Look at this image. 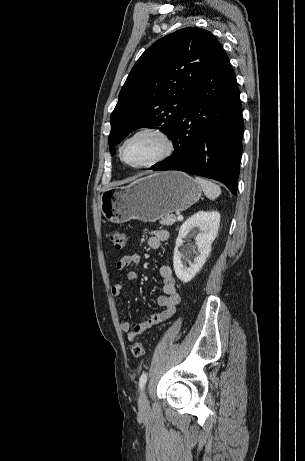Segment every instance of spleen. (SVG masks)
Returning <instances> with one entry per match:
<instances>
[{
	"instance_id": "1",
	"label": "spleen",
	"mask_w": 305,
	"mask_h": 461,
	"mask_svg": "<svg viewBox=\"0 0 305 461\" xmlns=\"http://www.w3.org/2000/svg\"><path fill=\"white\" fill-rule=\"evenodd\" d=\"M195 182L198 183L200 185V187L202 188L204 194L210 199V200H214L216 199L217 197L220 196L221 194V189L218 185H216L215 183L209 181V180H206V179H203V178H200V177H195Z\"/></svg>"
}]
</instances>
